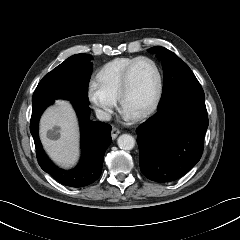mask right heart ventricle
<instances>
[{"mask_svg": "<svg viewBox=\"0 0 240 240\" xmlns=\"http://www.w3.org/2000/svg\"><path fill=\"white\" fill-rule=\"evenodd\" d=\"M136 57L116 58L99 68L96 73V84L111 98L118 99L122 77Z\"/></svg>", "mask_w": 240, "mask_h": 240, "instance_id": "right-heart-ventricle-1", "label": "right heart ventricle"}]
</instances>
